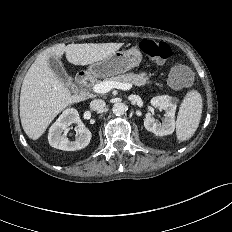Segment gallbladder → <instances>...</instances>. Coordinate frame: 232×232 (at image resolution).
Wrapping results in <instances>:
<instances>
[{
  "label": "gallbladder",
  "mask_w": 232,
  "mask_h": 232,
  "mask_svg": "<svg viewBox=\"0 0 232 232\" xmlns=\"http://www.w3.org/2000/svg\"><path fill=\"white\" fill-rule=\"evenodd\" d=\"M48 65L53 73L58 77V79L65 84L66 86L72 85L71 77L66 73V70L60 61V59L56 56H50L48 58Z\"/></svg>",
  "instance_id": "gallbladder-1"
}]
</instances>
